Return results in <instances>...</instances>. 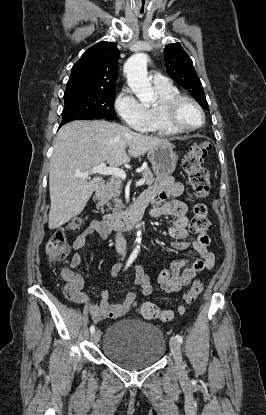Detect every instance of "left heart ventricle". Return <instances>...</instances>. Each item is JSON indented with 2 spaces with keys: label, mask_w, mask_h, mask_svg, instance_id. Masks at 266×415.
I'll use <instances>...</instances> for the list:
<instances>
[{
  "label": "left heart ventricle",
  "mask_w": 266,
  "mask_h": 415,
  "mask_svg": "<svg viewBox=\"0 0 266 415\" xmlns=\"http://www.w3.org/2000/svg\"><path fill=\"white\" fill-rule=\"evenodd\" d=\"M179 120L188 126L199 125L202 121V117L197 108L189 102L181 104L178 111Z\"/></svg>",
  "instance_id": "obj_1"
}]
</instances>
